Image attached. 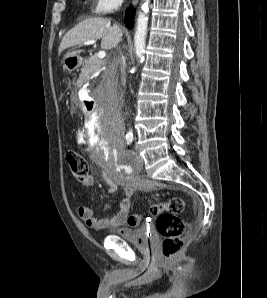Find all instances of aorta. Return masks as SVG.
Instances as JSON below:
<instances>
[{
  "instance_id": "1",
  "label": "aorta",
  "mask_w": 267,
  "mask_h": 298,
  "mask_svg": "<svg viewBox=\"0 0 267 298\" xmlns=\"http://www.w3.org/2000/svg\"><path fill=\"white\" fill-rule=\"evenodd\" d=\"M149 3L150 0H144L142 5V10L140 11L137 19L136 31L134 34V46L136 57L142 60L145 53V43L147 36L148 27V13H149Z\"/></svg>"
}]
</instances>
